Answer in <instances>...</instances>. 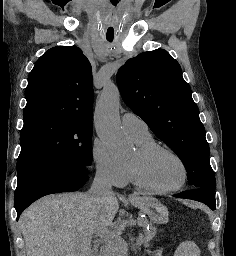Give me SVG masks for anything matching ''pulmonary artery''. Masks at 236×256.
<instances>
[{
    "label": "pulmonary artery",
    "mask_w": 236,
    "mask_h": 256,
    "mask_svg": "<svg viewBox=\"0 0 236 256\" xmlns=\"http://www.w3.org/2000/svg\"><path fill=\"white\" fill-rule=\"evenodd\" d=\"M122 127L134 139L145 138L150 135L146 123L136 114L128 112L121 116Z\"/></svg>",
    "instance_id": "e3ab8cb5"
}]
</instances>
